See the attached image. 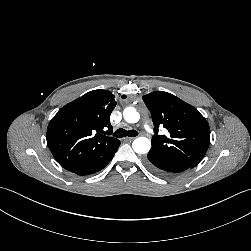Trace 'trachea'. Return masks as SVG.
I'll list each match as a JSON object with an SVG mask.
<instances>
[{"mask_svg": "<svg viewBox=\"0 0 251 251\" xmlns=\"http://www.w3.org/2000/svg\"><path fill=\"white\" fill-rule=\"evenodd\" d=\"M138 135V132L135 131V130H125V129H122V128H119L117 129L115 132H114V137H118V138H121V137H126V136H129V137H135Z\"/></svg>", "mask_w": 251, "mask_h": 251, "instance_id": "trachea-1", "label": "trachea"}]
</instances>
